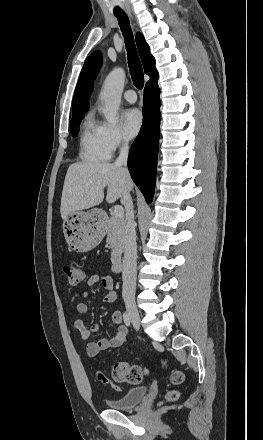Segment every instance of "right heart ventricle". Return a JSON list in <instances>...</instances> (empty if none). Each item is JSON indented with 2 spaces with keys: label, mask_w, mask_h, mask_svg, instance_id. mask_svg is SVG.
<instances>
[{
  "label": "right heart ventricle",
  "mask_w": 263,
  "mask_h": 440,
  "mask_svg": "<svg viewBox=\"0 0 263 440\" xmlns=\"http://www.w3.org/2000/svg\"><path fill=\"white\" fill-rule=\"evenodd\" d=\"M105 125L96 120L93 114H88L83 122L79 155L88 162H101L110 158L111 152L104 137Z\"/></svg>",
  "instance_id": "right-heart-ventricle-1"
}]
</instances>
